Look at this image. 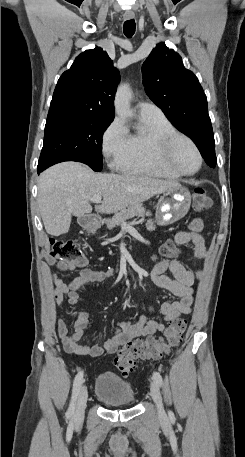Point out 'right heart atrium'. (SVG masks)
<instances>
[{"label":"right heart atrium","mask_w":245,"mask_h":457,"mask_svg":"<svg viewBox=\"0 0 245 457\" xmlns=\"http://www.w3.org/2000/svg\"><path fill=\"white\" fill-rule=\"evenodd\" d=\"M129 133L123 121L114 117L105 129L102 136V144L105 154L114 157L121 153L128 143Z\"/></svg>","instance_id":"obj_1"}]
</instances>
